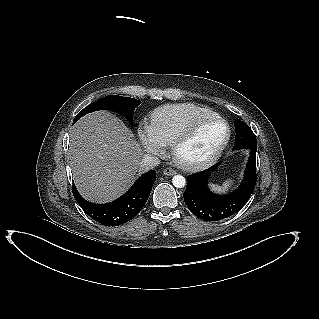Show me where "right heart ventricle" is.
<instances>
[{
    "mask_svg": "<svg viewBox=\"0 0 319 319\" xmlns=\"http://www.w3.org/2000/svg\"><path fill=\"white\" fill-rule=\"evenodd\" d=\"M213 114L211 109L192 103L164 105L152 111L149 125L166 145H171L191 122Z\"/></svg>",
    "mask_w": 319,
    "mask_h": 319,
    "instance_id": "right-heart-ventricle-1",
    "label": "right heart ventricle"
}]
</instances>
